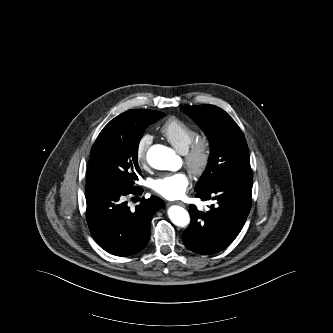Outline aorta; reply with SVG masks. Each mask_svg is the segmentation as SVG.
<instances>
[{
  "label": "aorta",
  "instance_id": "obj_1",
  "mask_svg": "<svg viewBox=\"0 0 333 333\" xmlns=\"http://www.w3.org/2000/svg\"><path fill=\"white\" fill-rule=\"evenodd\" d=\"M149 165L158 170H174L177 166L175 152L163 145H154L147 152ZM168 216L172 223L179 227H185L190 223L189 213L180 206H171Z\"/></svg>",
  "mask_w": 333,
  "mask_h": 333
}]
</instances>
